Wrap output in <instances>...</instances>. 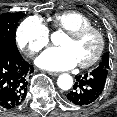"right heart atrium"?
<instances>
[{
  "instance_id": "right-heart-atrium-1",
  "label": "right heart atrium",
  "mask_w": 117,
  "mask_h": 117,
  "mask_svg": "<svg viewBox=\"0 0 117 117\" xmlns=\"http://www.w3.org/2000/svg\"><path fill=\"white\" fill-rule=\"evenodd\" d=\"M49 39V29L38 17L25 19L16 31L17 44L28 57H34L42 51L48 45Z\"/></svg>"
}]
</instances>
